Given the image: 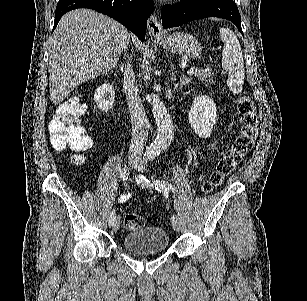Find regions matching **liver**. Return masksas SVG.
<instances>
[{"label":"liver","instance_id":"obj_1","mask_svg":"<svg viewBox=\"0 0 307 301\" xmlns=\"http://www.w3.org/2000/svg\"><path fill=\"white\" fill-rule=\"evenodd\" d=\"M130 36L123 24L91 8L63 14L48 48L52 102L60 104L81 82L112 70Z\"/></svg>","mask_w":307,"mask_h":301}]
</instances>
